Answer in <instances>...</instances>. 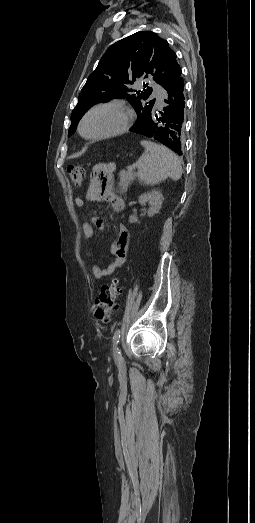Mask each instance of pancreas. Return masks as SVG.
I'll list each match as a JSON object with an SVG mask.
<instances>
[{
    "instance_id": "obj_1",
    "label": "pancreas",
    "mask_w": 255,
    "mask_h": 523,
    "mask_svg": "<svg viewBox=\"0 0 255 523\" xmlns=\"http://www.w3.org/2000/svg\"><path fill=\"white\" fill-rule=\"evenodd\" d=\"M120 182V194H125L127 192V186L130 184V182H133L135 180V176L132 174H129L128 172H120L119 174Z\"/></svg>"
}]
</instances>
